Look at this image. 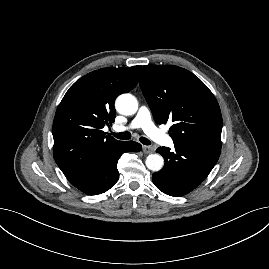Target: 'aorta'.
I'll use <instances>...</instances> for the list:
<instances>
[{
  "instance_id": "1",
  "label": "aorta",
  "mask_w": 269,
  "mask_h": 269,
  "mask_svg": "<svg viewBox=\"0 0 269 269\" xmlns=\"http://www.w3.org/2000/svg\"><path fill=\"white\" fill-rule=\"evenodd\" d=\"M117 112L122 115H133L138 109L137 99L131 94L120 95L115 102ZM146 166L148 169L154 172H158L164 165V159L159 154H150L146 158Z\"/></svg>"
}]
</instances>
